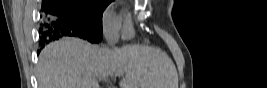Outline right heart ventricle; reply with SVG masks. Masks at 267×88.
Wrapping results in <instances>:
<instances>
[{"label":"right heart ventricle","instance_id":"obj_1","mask_svg":"<svg viewBox=\"0 0 267 88\" xmlns=\"http://www.w3.org/2000/svg\"><path fill=\"white\" fill-rule=\"evenodd\" d=\"M122 32H123L124 37L126 38H129L132 35V27H131L130 18L128 15L124 16Z\"/></svg>","mask_w":267,"mask_h":88}]
</instances>
